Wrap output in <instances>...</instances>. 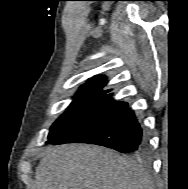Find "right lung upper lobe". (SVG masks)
Instances as JSON below:
<instances>
[{"label":"right lung upper lobe","mask_w":188,"mask_h":189,"mask_svg":"<svg viewBox=\"0 0 188 189\" xmlns=\"http://www.w3.org/2000/svg\"><path fill=\"white\" fill-rule=\"evenodd\" d=\"M107 81L105 76H94L91 79H89L84 85H82L79 88V91L77 93H83V92H104L107 93L110 90H102L104 86H106Z\"/></svg>","instance_id":"right-lung-upper-lobe-1"}]
</instances>
